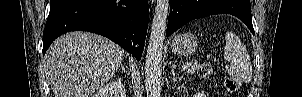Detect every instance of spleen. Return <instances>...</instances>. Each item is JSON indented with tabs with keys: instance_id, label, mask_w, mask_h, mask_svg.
Listing matches in <instances>:
<instances>
[{
	"instance_id": "obj_1",
	"label": "spleen",
	"mask_w": 302,
	"mask_h": 97,
	"mask_svg": "<svg viewBox=\"0 0 302 97\" xmlns=\"http://www.w3.org/2000/svg\"><path fill=\"white\" fill-rule=\"evenodd\" d=\"M224 58L228 61L227 73L238 81L249 83L252 79V66L246 47L237 35L225 34Z\"/></svg>"
}]
</instances>
